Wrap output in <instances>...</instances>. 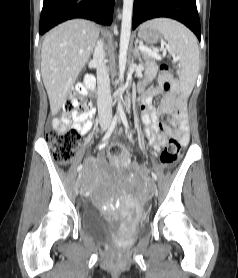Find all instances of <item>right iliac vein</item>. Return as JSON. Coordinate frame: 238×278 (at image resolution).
I'll return each mask as SVG.
<instances>
[{
  "label": "right iliac vein",
  "instance_id": "obj_1",
  "mask_svg": "<svg viewBox=\"0 0 238 278\" xmlns=\"http://www.w3.org/2000/svg\"><path fill=\"white\" fill-rule=\"evenodd\" d=\"M105 129H106V127L104 126L103 130H105ZM74 192H75V195H79L78 186H74Z\"/></svg>",
  "mask_w": 238,
  "mask_h": 278
}]
</instances>
